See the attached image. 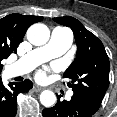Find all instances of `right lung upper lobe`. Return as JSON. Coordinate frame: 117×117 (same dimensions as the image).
Here are the masks:
<instances>
[{"label":"right lung upper lobe","mask_w":117,"mask_h":117,"mask_svg":"<svg viewBox=\"0 0 117 117\" xmlns=\"http://www.w3.org/2000/svg\"><path fill=\"white\" fill-rule=\"evenodd\" d=\"M42 19L41 16H23L17 13L0 19V73L3 68L1 61L11 53L17 52V47L28 27L33 23L42 21Z\"/></svg>","instance_id":"right-lung-upper-lobe-1"}]
</instances>
